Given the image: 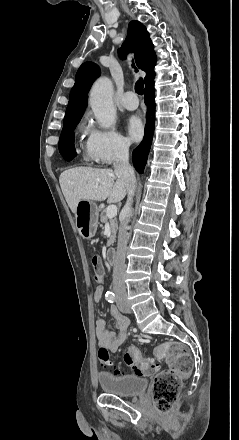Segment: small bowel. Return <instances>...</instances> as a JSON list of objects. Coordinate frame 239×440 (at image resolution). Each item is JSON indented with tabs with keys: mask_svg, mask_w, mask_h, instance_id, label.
<instances>
[{
	"mask_svg": "<svg viewBox=\"0 0 239 440\" xmlns=\"http://www.w3.org/2000/svg\"><path fill=\"white\" fill-rule=\"evenodd\" d=\"M104 288L98 285L95 288L93 299L99 303L102 299ZM111 315L115 320V331H109L106 328V321L102 316L96 319V335L100 349L115 352L124 343L127 335L129 320L123 316L116 307H111Z\"/></svg>",
	"mask_w": 239,
	"mask_h": 440,
	"instance_id": "obj_1",
	"label": "small bowel"
}]
</instances>
